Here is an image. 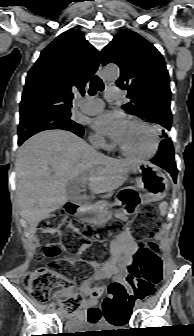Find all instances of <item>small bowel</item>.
I'll return each mask as SVG.
<instances>
[{
	"mask_svg": "<svg viewBox=\"0 0 194 336\" xmlns=\"http://www.w3.org/2000/svg\"><path fill=\"white\" fill-rule=\"evenodd\" d=\"M138 252V246L134 241L129 230H124L117 235L110 244V256L104 263H93V273L77 289H60L55 296L61 300L69 295L80 293L87 297L82 302V309L75 317V321L85 322L89 325L96 326L102 321L100 309L97 307V297L93 294L94 288L100 286L104 281L116 277L122 270L131 269L135 256ZM159 269L162 275V266L157 259ZM137 290L135 287H129V293L135 297L137 291H150L151 288L140 281H137ZM133 302V301H132Z\"/></svg>",
	"mask_w": 194,
	"mask_h": 336,
	"instance_id": "c3829d8e",
	"label": "small bowel"
}]
</instances>
